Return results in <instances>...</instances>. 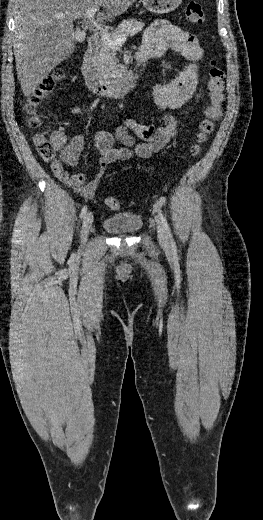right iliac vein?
I'll use <instances>...</instances> for the list:
<instances>
[{
  "label": "right iliac vein",
  "mask_w": 263,
  "mask_h": 520,
  "mask_svg": "<svg viewBox=\"0 0 263 520\" xmlns=\"http://www.w3.org/2000/svg\"><path fill=\"white\" fill-rule=\"evenodd\" d=\"M93 223V214L91 212H88L83 220L82 225V232H81V240L82 243H85L89 234V230L92 227Z\"/></svg>",
  "instance_id": "63e3f726"
}]
</instances>
